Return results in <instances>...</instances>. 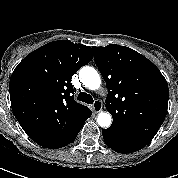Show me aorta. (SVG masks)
Here are the masks:
<instances>
[{
    "label": "aorta",
    "mask_w": 178,
    "mask_h": 178,
    "mask_svg": "<svg viewBox=\"0 0 178 178\" xmlns=\"http://www.w3.org/2000/svg\"><path fill=\"white\" fill-rule=\"evenodd\" d=\"M79 78L83 85L91 90H97L101 85L98 72L90 66H84L80 69ZM97 123L101 127L108 128L112 123V117L109 113L100 112L97 116Z\"/></svg>",
    "instance_id": "762f6f07"
}]
</instances>
